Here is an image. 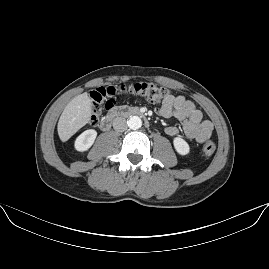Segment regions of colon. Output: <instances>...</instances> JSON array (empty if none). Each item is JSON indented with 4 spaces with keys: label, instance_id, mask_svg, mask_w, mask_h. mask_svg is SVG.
I'll use <instances>...</instances> for the list:
<instances>
[{
    "label": "colon",
    "instance_id": "colon-1",
    "mask_svg": "<svg viewBox=\"0 0 269 269\" xmlns=\"http://www.w3.org/2000/svg\"><path fill=\"white\" fill-rule=\"evenodd\" d=\"M124 92L142 97L149 103L163 102L170 96V89L168 87L153 82H135L131 84H115L114 86L98 87L90 93V96L92 103L100 105L106 99L118 98ZM97 119V115H94L93 121ZM215 150V143L208 140L202 147V155L204 158H209L215 153Z\"/></svg>",
    "mask_w": 269,
    "mask_h": 269
}]
</instances>
